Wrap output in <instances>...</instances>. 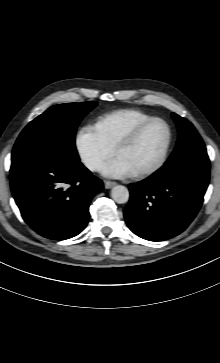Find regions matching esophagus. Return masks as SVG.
<instances>
[{"instance_id":"1","label":"esophagus","mask_w":220,"mask_h":363,"mask_svg":"<svg viewBox=\"0 0 220 363\" xmlns=\"http://www.w3.org/2000/svg\"><path fill=\"white\" fill-rule=\"evenodd\" d=\"M116 185V182H113V181H105L104 182V186L106 189H110L112 187H114Z\"/></svg>"}]
</instances>
